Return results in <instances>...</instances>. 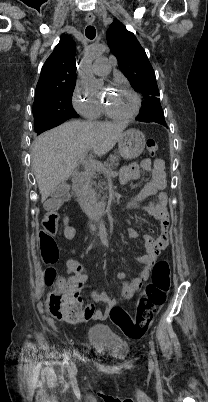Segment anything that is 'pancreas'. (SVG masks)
<instances>
[{"mask_svg": "<svg viewBox=\"0 0 208 402\" xmlns=\"http://www.w3.org/2000/svg\"><path fill=\"white\" fill-rule=\"evenodd\" d=\"M119 156H110L108 160V164H102V166H107V168H116L118 166ZM103 170V168H101ZM101 170H87L85 172L87 176L86 182H84L83 188L77 190L78 196H88V194H92L95 198H100L101 194H103L102 186H105V182H97L99 178H101L100 174H102Z\"/></svg>", "mask_w": 208, "mask_h": 402, "instance_id": "1", "label": "pancreas"}]
</instances>
